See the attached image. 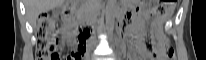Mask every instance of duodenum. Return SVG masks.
Returning a JSON list of instances; mask_svg holds the SVG:
<instances>
[{"label":"duodenum","instance_id":"1","mask_svg":"<svg viewBox=\"0 0 206 60\" xmlns=\"http://www.w3.org/2000/svg\"><path fill=\"white\" fill-rule=\"evenodd\" d=\"M64 15L67 18L76 20L77 27L78 28H82L83 27V31H84V33L86 35H90L91 32L93 31V26L90 23H88V22H84L83 23V19H78L75 3H68L65 6V8H64ZM118 29L119 30H124L125 26L124 25H119Z\"/></svg>","mask_w":206,"mask_h":60}]
</instances>
